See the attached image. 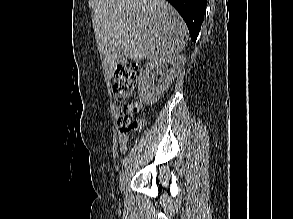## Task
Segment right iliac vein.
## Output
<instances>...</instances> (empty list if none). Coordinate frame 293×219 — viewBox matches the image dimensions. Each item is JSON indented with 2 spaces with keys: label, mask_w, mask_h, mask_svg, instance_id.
Returning <instances> with one entry per match:
<instances>
[{
  "label": "right iliac vein",
  "mask_w": 293,
  "mask_h": 219,
  "mask_svg": "<svg viewBox=\"0 0 293 219\" xmlns=\"http://www.w3.org/2000/svg\"><path fill=\"white\" fill-rule=\"evenodd\" d=\"M129 175H130V166L126 167L120 176L119 186L121 190H124L125 185L128 181Z\"/></svg>",
  "instance_id": "right-iliac-vein-1"
}]
</instances>
